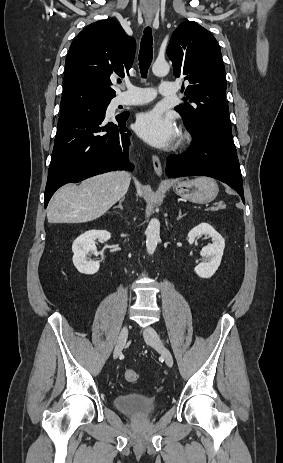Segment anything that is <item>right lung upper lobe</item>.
I'll list each match as a JSON object with an SVG mask.
<instances>
[{"mask_svg": "<svg viewBox=\"0 0 283 463\" xmlns=\"http://www.w3.org/2000/svg\"><path fill=\"white\" fill-rule=\"evenodd\" d=\"M135 50V39L114 20H99L84 28L65 61L60 111L115 97L110 77L129 75Z\"/></svg>", "mask_w": 283, "mask_h": 463, "instance_id": "cb5924a9", "label": "right lung upper lobe"}]
</instances>
